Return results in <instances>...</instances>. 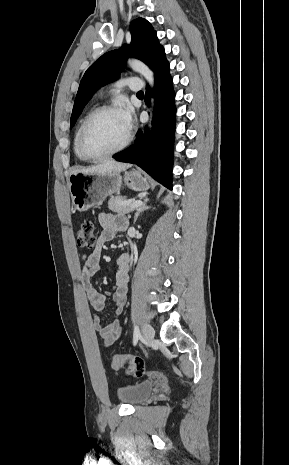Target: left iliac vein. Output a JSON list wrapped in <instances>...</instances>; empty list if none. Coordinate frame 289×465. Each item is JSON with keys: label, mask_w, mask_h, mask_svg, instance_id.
I'll list each match as a JSON object with an SVG mask.
<instances>
[{"label": "left iliac vein", "mask_w": 289, "mask_h": 465, "mask_svg": "<svg viewBox=\"0 0 289 465\" xmlns=\"http://www.w3.org/2000/svg\"><path fill=\"white\" fill-rule=\"evenodd\" d=\"M142 334L145 342L150 344L153 342L155 331L149 323H145L142 328Z\"/></svg>", "instance_id": "left-iliac-vein-1"}]
</instances>
